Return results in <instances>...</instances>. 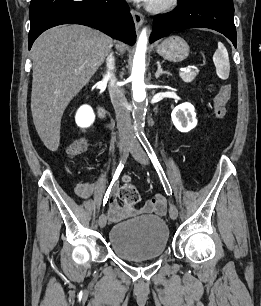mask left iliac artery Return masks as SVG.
<instances>
[{"instance_id": "obj_1", "label": "left iliac artery", "mask_w": 261, "mask_h": 306, "mask_svg": "<svg viewBox=\"0 0 261 306\" xmlns=\"http://www.w3.org/2000/svg\"><path fill=\"white\" fill-rule=\"evenodd\" d=\"M138 138L141 141L142 145L144 146V148H145L151 162L153 163L156 171L158 172V174L160 176V179L163 183L166 194L167 195H172V190H171L170 184H169V182H168V180H167V178L164 174V171H163V169H162V167H161V165H160V163H159V161L156 157V154L153 151L150 143L148 142V140H147V138L145 137L144 134L138 135Z\"/></svg>"}]
</instances>
